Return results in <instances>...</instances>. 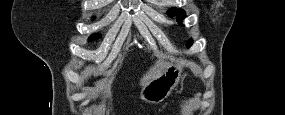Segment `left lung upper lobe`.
I'll use <instances>...</instances> for the list:
<instances>
[{
    "mask_svg": "<svg viewBox=\"0 0 285 115\" xmlns=\"http://www.w3.org/2000/svg\"><path fill=\"white\" fill-rule=\"evenodd\" d=\"M167 14L171 17L176 15L178 23H180L185 17V12L182 9L171 8L170 10H168ZM191 45L192 39L187 42L186 46L189 48Z\"/></svg>",
    "mask_w": 285,
    "mask_h": 115,
    "instance_id": "left-lung-upper-lobe-1",
    "label": "left lung upper lobe"
}]
</instances>
